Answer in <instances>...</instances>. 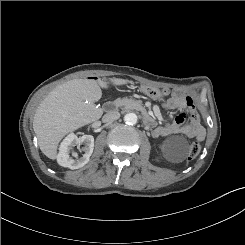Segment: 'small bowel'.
Instances as JSON below:
<instances>
[{
	"label": "small bowel",
	"mask_w": 245,
	"mask_h": 245,
	"mask_svg": "<svg viewBox=\"0 0 245 245\" xmlns=\"http://www.w3.org/2000/svg\"><path fill=\"white\" fill-rule=\"evenodd\" d=\"M163 107L170 110H179L180 114L168 124L154 128V136L182 134L196 141L204 140L206 132L190 95L176 91L163 103ZM186 120L189 122L186 123Z\"/></svg>",
	"instance_id": "obj_1"
}]
</instances>
